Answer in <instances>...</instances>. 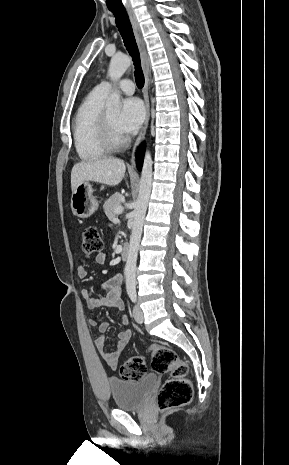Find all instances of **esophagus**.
I'll return each instance as SVG.
<instances>
[{"mask_svg":"<svg viewBox=\"0 0 289 465\" xmlns=\"http://www.w3.org/2000/svg\"><path fill=\"white\" fill-rule=\"evenodd\" d=\"M127 14L129 16L134 36L136 39V43L139 49L140 53V60H141V66L143 69L144 73V88H143V96H144V102H145V110H146V115L144 119V123L141 127V130L139 132V135L135 141L134 147H133V152H132V159H131V167L135 168V152L138 149V147L141 145L143 142L146 131L148 128L149 124V119H150V104H149V95H148V88H149V59L145 50V44L144 40L142 37V32L141 28L139 25V22L137 20V17L135 15V12L132 8H127Z\"/></svg>","mask_w":289,"mask_h":465,"instance_id":"34e87169","label":"esophagus"}]
</instances>
